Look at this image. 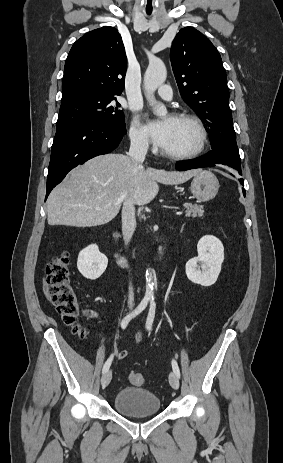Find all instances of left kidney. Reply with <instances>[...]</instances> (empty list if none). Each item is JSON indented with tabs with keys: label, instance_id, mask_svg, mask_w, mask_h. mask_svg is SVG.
Segmentation results:
<instances>
[{
	"label": "left kidney",
	"instance_id": "5707ae66",
	"mask_svg": "<svg viewBox=\"0 0 283 463\" xmlns=\"http://www.w3.org/2000/svg\"><path fill=\"white\" fill-rule=\"evenodd\" d=\"M197 251L198 256L186 263V275L193 283L209 287L217 281L221 271L224 247L215 236L205 235L198 241Z\"/></svg>",
	"mask_w": 283,
	"mask_h": 463
}]
</instances>
